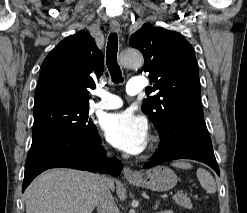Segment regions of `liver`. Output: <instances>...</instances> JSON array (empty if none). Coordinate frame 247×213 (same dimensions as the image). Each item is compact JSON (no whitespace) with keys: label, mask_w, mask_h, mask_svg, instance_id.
<instances>
[{"label":"liver","mask_w":247,"mask_h":213,"mask_svg":"<svg viewBox=\"0 0 247 213\" xmlns=\"http://www.w3.org/2000/svg\"><path fill=\"white\" fill-rule=\"evenodd\" d=\"M100 176L56 168L39 175L25 190L26 213H92ZM114 183L111 180V187Z\"/></svg>","instance_id":"obj_1"}]
</instances>
